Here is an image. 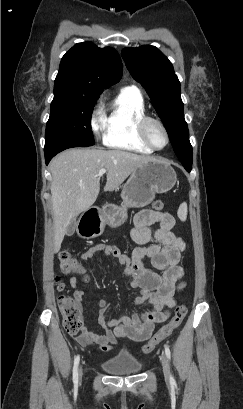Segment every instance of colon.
<instances>
[{
    "label": "colon",
    "instance_id": "colon-1",
    "mask_svg": "<svg viewBox=\"0 0 243 409\" xmlns=\"http://www.w3.org/2000/svg\"><path fill=\"white\" fill-rule=\"evenodd\" d=\"M152 208L155 211H160L163 208V202L155 201ZM58 266L59 270L65 275H74L82 272V267L73 258L69 251H63L60 253ZM62 287L63 285L59 284V288ZM58 305L64 329L71 334H76L79 332L83 324L79 302L72 297L61 296L58 300ZM186 314V305H179L176 308L175 314L171 320L163 325L159 331L143 346V352L145 354L152 352L159 343L168 338L181 325Z\"/></svg>",
    "mask_w": 243,
    "mask_h": 409
}]
</instances>
